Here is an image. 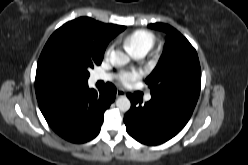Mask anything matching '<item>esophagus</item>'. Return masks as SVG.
Segmentation results:
<instances>
[{
    "label": "esophagus",
    "instance_id": "1",
    "mask_svg": "<svg viewBox=\"0 0 248 165\" xmlns=\"http://www.w3.org/2000/svg\"><path fill=\"white\" fill-rule=\"evenodd\" d=\"M125 95V91L124 90H122V89H118L117 90V93H116V96L117 97H121V96H124Z\"/></svg>",
    "mask_w": 248,
    "mask_h": 165
}]
</instances>
